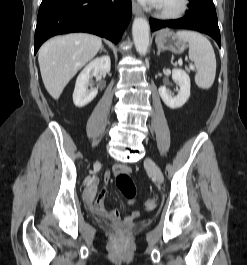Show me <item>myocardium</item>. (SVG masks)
<instances>
[{
	"label": "myocardium",
	"instance_id": "f54148a6",
	"mask_svg": "<svg viewBox=\"0 0 247 265\" xmlns=\"http://www.w3.org/2000/svg\"><path fill=\"white\" fill-rule=\"evenodd\" d=\"M190 0H177L174 7L156 6V15L163 20H176L182 18L189 11Z\"/></svg>",
	"mask_w": 247,
	"mask_h": 265
}]
</instances>
